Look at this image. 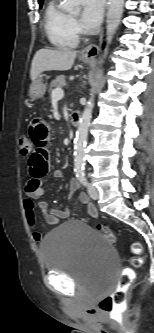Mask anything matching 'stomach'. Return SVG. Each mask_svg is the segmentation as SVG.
Returning <instances> with one entry per match:
<instances>
[{
    "label": "stomach",
    "instance_id": "0dacf381",
    "mask_svg": "<svg viewBox=\"0 0 154 333\" xmlns=\"http://www.w3.org/2000/svg\"><path fill=\"white\" fill-rule=\"evenodd\" d=\"M81 60L88 63L91 58L88 56H81ZM46 91V84L43 82L42 75H39L30 85L29 96L32 100H37L43 97Z\"/></svg>",
    "mask_w": 154,
    "mask_h": 333
}]
</instances>
